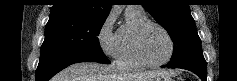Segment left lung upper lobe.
Wrapping results in <instances>:
<instances>
[{"mask_svg": "<svg viewBox=\"0 0 237 81\" xmlns=\"http://www.w3.org/2000/svg\"><path fill=\"white\" fill-rule=\"evenodd\" d=\"M142 6L163 26L174 43L167 67L206 66L201 40L186 0H142Z\"/></svg>", "mask_w": 237, "mask_h": 81, "instance_id": "5c2ea615", "label": "left lung upper lobe"}]
</instances>
